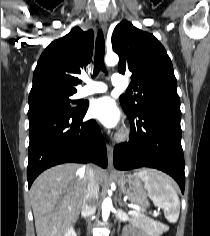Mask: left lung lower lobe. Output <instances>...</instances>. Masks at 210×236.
<instances>
[{
    "mask_svg": "<svg viewBox=\"0 0 210 236\" xmlns=\"http://www.w3.org/2000/svg\"><path fill=\"white\" fill-rule=\"evenodd\" d=\"M125 113L131 124L130 141L114 147L115 168L119 170L139 167L159 169L172 176L184 193L180 108L151 105L140 109L135 114L126 111Z\"/></svg>",
    "mask_w": 210,
    "mask_h": 236,
    "instance_id": "left-lung-lower-lobe-1",
    "label": "left lung lower lobe"
}]
</instances>
